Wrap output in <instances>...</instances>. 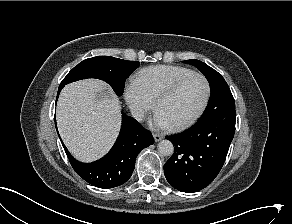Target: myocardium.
<instances>
[{"instance_id":"myocardium-1","label":"myocardium","mask_w":292,"mask_h":224,"mask_svg":"<svg viewBox=\"0 0 292 224\" xmlns=\"http://www.w3.org/2000/svg\"><path fill=\"white\" fill-rule=\"evenodd\" d=\"M193 78H200L203 80V82L205 84L204 100H203L200 108L198 109V111L190 119H188L187 121L182 122L180 124H176V125L171 126V129L174 131H181V130L189 128L204 114L205 110L207 109V107L209 105L210 98H211V85H210L208 78L205 75H203L201 73H197V72L188 74V75L178 79L177 81L172 83L170 86H168L166 89H164L155 100V108H156V110H158L159 105L163 101L172 97L185 83H187L189 80H191Z\"/></svg>"}]
</instances>
